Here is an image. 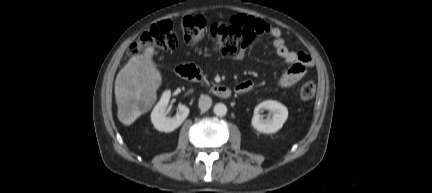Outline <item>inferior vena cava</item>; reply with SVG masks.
<instances>
[{
	"label": "inferior vena cava",
	"instance_id": "inferior-vena-cava-1",
	"mask_svg": "<svg viewBox=\"0 0 432 193\" xmlns=\"http://www.w3.org/2000/svg\"><path fill=\"white\" fill-rule=\"evenodd\" d=\"M198 105L202 111H207L212 105V99L208 95H201Z\"/></svg>",
	"mask_w": 432,
	"mask_h": 193
}]
</instances>
